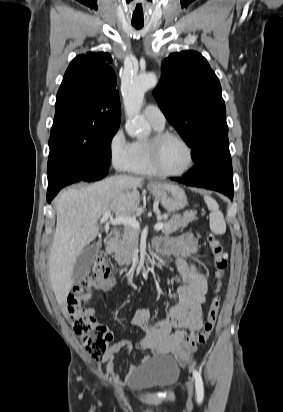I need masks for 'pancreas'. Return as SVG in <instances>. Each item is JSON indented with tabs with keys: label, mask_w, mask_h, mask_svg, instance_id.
I'll use <instances>...</instances> for the list:
<instances>
[{
	"label": "pancreas",
	"mask_w": 283,
	"mask_h": 412,
	"mask_svg": "<svg viewBox=\"0 0 283 412\" xmlns=\"http://www.w3.org/2000/svg\"><path fill=\"white\" fill-rule=\"evenodd\" d=\"M196 211H185L183 215L174 214L169 220L164 219L162 233L169 235L185 228L192 221L197 220ZM139 230L126 227L121 238L117 239L112 248L114 258L119 265H129L131 263L132 255L138 247Z\"/></svg>",
	"instance_id": "cf45deb5"
}]
</instances>
